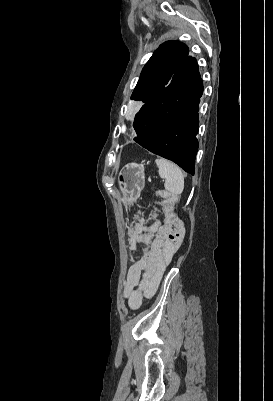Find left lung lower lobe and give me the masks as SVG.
Instances as JSON below:
<instances>
[{
	"mask_svg": "<svg viewBox=\"0 0 273 401\" xmlns=\"http://www.w3.org/2000/svg\"><path fill=\"white\" fill-rule=\"evenodd\" d=\"M202 93L203 83L196 59L187 56L165 89L135 115L137 137L134 140L194 174Z\"/></svg>",
	"mask_w": 273,
	"mask_h": 401,
	"instance_id": "left-lung-lower-lobe-1",
	"label": "left lung lower lobe"
}]
</instances>
